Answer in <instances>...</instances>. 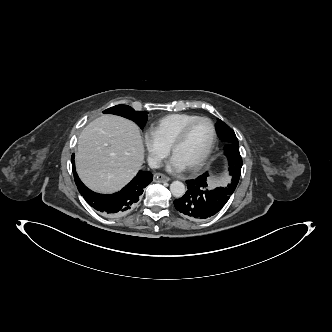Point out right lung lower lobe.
Wrapping results in <instances>:
<instances>
[{
  "label": "right lung lower lobe",
  "instance_id": "1",
  "mask_svg": "<svg viewBox=\"0 0 332 332\" xmlns=\"http://www.w3.org/2000/svg\"><path fill=\"white\" fill-rule=\"evenodd\" d=\"M71 161L74 180L80 194L90 206L107 217H118L133 210L141 198L143 189L153 179L152 173L139 171L137 176L120 192L111 195L98 194L88 189L79 179L75 170L74 154Z\"/></svg>",
  "mask_w": 332,
  "mask_h": 332
}]
</instances>
